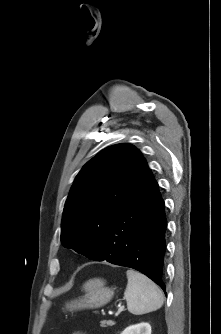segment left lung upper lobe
<instances>
[{
	"instance_id": "1",
	"label": "left lung upper lobe",
	"mask_w": 221,
	"mask_h": 334,
	"mask_svg": "<svg viewBox=\"0 0 221 334\" xmlns=\"http://www.w3.org/2000/svg\"><path fill=\"white\" fill-rule=\"evenodd\" d=\"M148 170L141 152L127 143L110 146L87 162L65 203L63 246L95 260L111 221Z\"/></svg>"
}]
</instances>
